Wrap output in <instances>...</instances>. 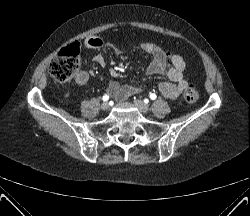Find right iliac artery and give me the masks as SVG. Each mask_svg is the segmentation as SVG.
<instances>
[{"mask_svg":"<svg viewBox=\"0 0 250 216\" xmlns=\"http://www.w3.org/2000/svg\"><path fill=\"white\" fill-rule=\"evenodd\" d=\"M109 99V96L108 95H104L103 97H102V100L103 101H107Z\"/></svg>","mask_w":250,"mask_h":216,"instance_id":"right-iliac-artery-1","label":"right iliac artery"}]
</instances>
